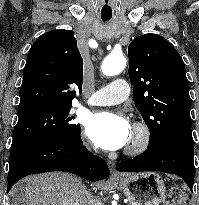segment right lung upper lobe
<instances>
[{
  "mask_svg": "<svg viewBox=\"0 0 199 205\" xmlns=\"http://www.w3.org/2000/svg\"><path fill=\"white\" fill-rule=\"evenodd\" d=\"M83 59L70 30L41 35L30 48L23 72L18 112L40 106L72 104L82 91Z\"/></svg>",
  "mask_w": 199,
  "mask_h": 205,
  "instance_id": "right-lung-upper-lobe-1",
  "label": "right lung upper lobe"
}]
</instances>
